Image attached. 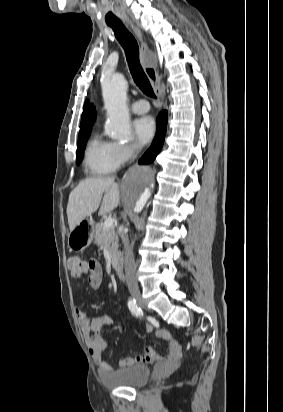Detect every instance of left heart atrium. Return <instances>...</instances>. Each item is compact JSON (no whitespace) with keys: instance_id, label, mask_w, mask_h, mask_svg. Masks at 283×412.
<instances>
[{"instance_id":"39dd6f15","label":"left heart atrium","mask_w":283,"mask_h":412,"mask_svg":"<svg viewBox=\"0 0 283 412\" xmlns=\"http://www.w3.org/2000/svg\"><path fill=\"white\" fill-rule=\"evenodd\" d=\"M134 128L138 141L146 144L152 140L156 131V124L153 118L147 116L137 120Z\"/></svg>"}]
</instances>
